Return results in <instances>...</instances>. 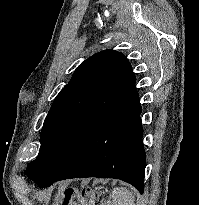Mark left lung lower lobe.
Returning <instances> with one entry per match:
<instances>
[{"instance_id": "obj_1", "label": "left lung lower lobe", "mask_w": 199, "mask_h": 205, "mask_svg": "<svg viewBox=\"0 0 199 205\" xmlns=\"http://www.w3.org/2000/svg\"><path fill=\"white\" fill-rule=\"evenodd\" d=\"M141 105L135 85L96 126L79 154L59 177L39 185L77 177L116 178L144 189L146 155L140 121Z\"/></svg>"}]
</instances>
